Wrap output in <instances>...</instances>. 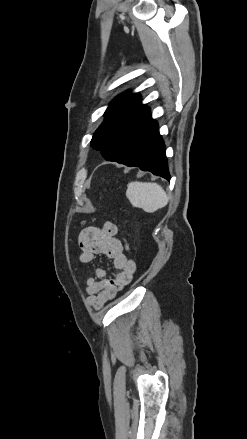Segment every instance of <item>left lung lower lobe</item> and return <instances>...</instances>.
<instances>
[{
	"mask_svg": "<svg viewBox=\"0 0 247 439\" xmlns=\"http://www.w3.org/2000/svg\"><path fill=\"white\" fill-rule=\"evenodd\" d=\"M121 164L130 167L137 166L144 171H150L154 175L170 180L165 145L154 120L150 119L141 129Z\"/></svg>",
	"mask_w": 247,
	"mask_h": 439,
	"instance_id": "1",
	"label": "left lung lower lobe"
}]
</instances>
